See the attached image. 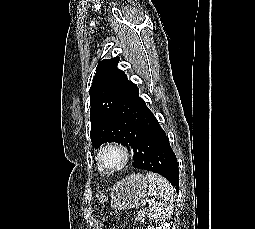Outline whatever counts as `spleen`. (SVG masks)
Instances as JSON below:
<instances>
[{"mask_svg":"<svg viewBox=\"0 0 255 229\" xmlns=\"http://www.w3.org/2000/svg\"><path fill=\"white\" fill-rule=\"evenodd\" d=\"M149 193L153 196L147 215L151 220L164 221L173 211L175 189L170 182L157 173L148 172Z\"/></svg>","mask_w":255,"mask_h":229,"instance_id":"spleen-1","label":"spleen"}]
</instances>
